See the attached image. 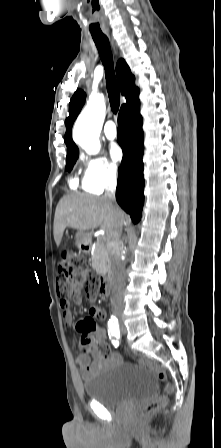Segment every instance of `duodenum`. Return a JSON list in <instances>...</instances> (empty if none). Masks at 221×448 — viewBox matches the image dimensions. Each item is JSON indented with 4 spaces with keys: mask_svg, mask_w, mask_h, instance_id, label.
<instances>
[{
    "mask_svg": "<svg viewBox=\"0 0 221 448\" xmlns=\"http://www.w3.org/2000/svg\"><path fill=\"white\" fill-rule=\"evenodd\" d=\"M90 240L86 238L82 243L84 250L89 249ZM98 288L102 295L106 296L109 291V273H102L98 276Z\"/></svg>",
    "mask_w": 221,
    "mask_h": 448,
    "instance_id": "duodenum-1",
    "label": "duodenum"
}]
</instances>
